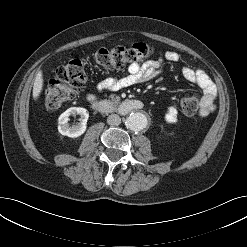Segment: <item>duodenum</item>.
Here are the masks:
<instances>
[{
	"label": "duodenum",
	"instance_id": "obj_1",
	"mask_svg": "<svg viewBox=\"0 0 247 247\" xmlns=\"http://www.w3.org/2000/svg\"><path fill=\"white\" fill-rule=\"evenodd\" d=\"M143 103L137 99H125L119 102L104 99L93 102V107L102 113L130 114L143 109Z\"/></svg>",
	"mask_w": 247,
	"mask_h": 247
}]
</instances>
